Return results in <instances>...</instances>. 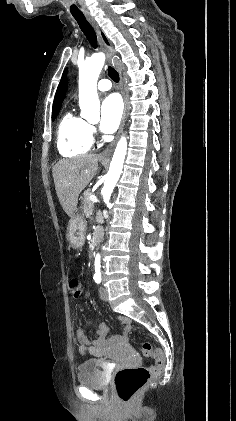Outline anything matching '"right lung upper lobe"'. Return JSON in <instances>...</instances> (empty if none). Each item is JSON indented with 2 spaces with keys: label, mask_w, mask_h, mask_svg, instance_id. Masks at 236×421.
Returning a JSON list of instances; mask_svg holds the SVG:
<instances>
[{
  "label": "right lung upper lobe",
  "mask_w": 236,
  "mask_h": 421,
  "mask_svg": "<svg viewBox=\"0 0 236 421\" xmlns=\"http://www.w3.org/2000/svg\"><path fill=\"white\" fill-rule=\"evenodd\" d=\"M103 37H104V35H103ZM104 39L107 42L105 37H104ZM66 90H67V80H66V78L63 77L59 86H58V89H57V92H56V95H55V99H54V103H53V111L61 108V104H62L63 99L65 97Z\"/></svg>",
  "instance_id": "right-lung-upper-lobe-1"
}]
</instances>
